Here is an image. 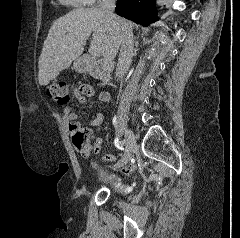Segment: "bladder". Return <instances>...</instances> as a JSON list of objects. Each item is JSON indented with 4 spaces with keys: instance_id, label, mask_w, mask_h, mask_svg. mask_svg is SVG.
Returning <instances> with one entry per match:
<instances>
[{
    "instance_id": "1",
    "label": "bladder",
    "mask_w": 240,
    "mask_h": 238,
    "mask_svg": "<svg viewBox=\"0 0 240 238\" xmlns=\"http://www.w3.org/2000/svg\"><path fill=\"white\" fill-rule=\"evenodd\" d=\"M115 185H116L118 188H121V186H120L119 183H115Z\"/></svg>"
}]
</instances>
